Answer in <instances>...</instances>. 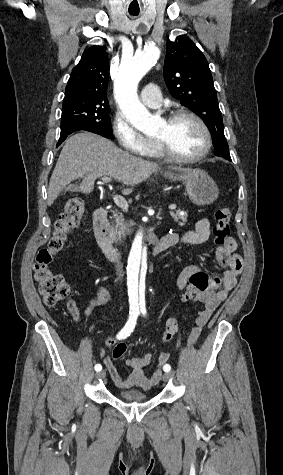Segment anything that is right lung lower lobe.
Returning a JSON list of instances; mask_svg holds the SVG:
<instances>
[{
    "instance_id": "98d812e1",
    "label": "right lung lower lobe",
    "mask_w": 283,
    "mask_h": 475,
    "mask_svg": "<svg viewBox=\"0 0 283 475\" xmlns=\"http://www.w3.org/2000/svg\"><path fill=\"white\" fill-rule=\"evenodd\" d=\"M81 129L79 128H68V129H65V130H61V134H60V138H59V141L57 143V146H59L66 138L68 135H70L71 133L75 132V131H79Z\"/></svg>"
}]
</instances>
